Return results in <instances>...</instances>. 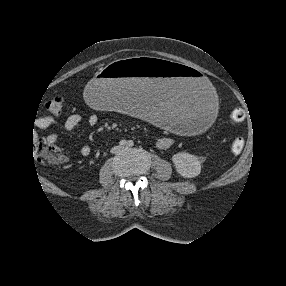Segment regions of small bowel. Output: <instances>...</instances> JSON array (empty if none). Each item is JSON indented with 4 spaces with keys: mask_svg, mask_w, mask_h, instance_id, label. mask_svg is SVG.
Wrapping results in <instances>:
<instances>
[{
    "mask_svg": "<svg viewBox=\"0 0 286 286\" xmlns=\"http://www.w3.org/2000/svg\"><path fill=\"white\" fill-rule=\"evenodd\" d=\"M83 121V118L80 117L79 115H71L69 116L65 121H64V124L63 126L67 129V130H71L73 129L74 127L78 126L81 122ZM87 122L90 124V125H94L96 124L97 122V118L96 116L94 115H91L87 118ZM57 124V121L55 119H53L52 117H45V118H42L39 122V128L40 129H45L49 126H53V125H56ZM51 139L52 140H59V136L57 135H52L51 136ZM173 138L170 137V136H165V137H162L158 140L157 142V146L160 148V149H168L170 148L172 145H173ZM81 154L84 156V157H87L91 154V148L89 145L85 144L81 147Z\"/></svg>",
    "mask_w": 286,
    "mask_h": 286,
    "instance_id": "obj_1",
    "label": "small bowel"
}]
</instances>
